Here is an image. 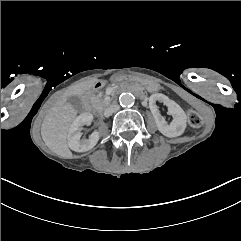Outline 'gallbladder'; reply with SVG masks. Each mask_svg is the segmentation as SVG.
Segmentation results:
<instances>
[{"mask_svg":"<svg viewBox=\"0 0 241 241\" xmlns=\"http://www.w3.org/2000/svg\"><path fill=\"white\" fill-rule=\"evenodd\" d=\"M68 101L71 102L74 106L83 108V101L78 97H70Z\"/></svg>","mask_w":241,"mask_h":241,"instance_id":"gallbladder-1","label":"gallbladder"}]
</instances>
